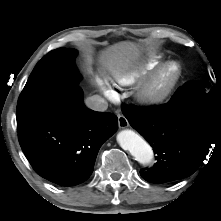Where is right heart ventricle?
Wrapping results in <instances>:
<instances>
[{
	"label": "right heart ventricle",
	"mask_w": 221,
	"mask_h": 221,
	"mask_svg": "<svg viewBox=\"0 0 221 221\" xmlns=\"http://www.w3.org/2000/svg\"><path fill=\"white\" fill-rule=\"evenodd\" d=\"M160 63V57H152L150 62L141 70L131 71L116 76V81L125 86H130L141 80L147 73L152 71Z\"/></svg>",
	"instance_id": "1"
}]
</instances>
